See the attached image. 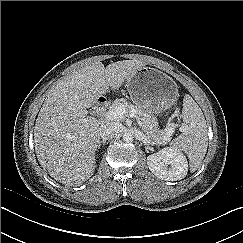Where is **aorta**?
Returning <instances> with one entry per match:
<instances>
[{
	"instance_id": "obj_1",
	"label": "aorta",
	"mask_w": 243,
	"mask_h": 243,
	"mask_svg": "<svg viewBox=\"0 0 243 243\" xmlns=\"http://www.w3.org/2000/svg\"><path fill=\"white\" fill-rule=\"evenodd\" d=\"M122 138H123L124 142L131 143L133 141L134 137H133V135L131 133L127 132V133H124Z\"/></svg>"
}]
</instances>
